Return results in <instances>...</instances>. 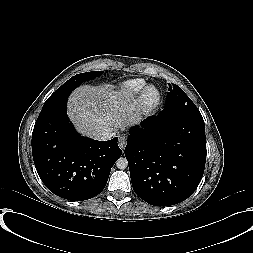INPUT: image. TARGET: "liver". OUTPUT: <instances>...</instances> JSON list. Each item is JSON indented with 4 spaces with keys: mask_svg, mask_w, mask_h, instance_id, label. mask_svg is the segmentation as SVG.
<instances>
[{
    "mask_svg": "<svg viewBox=\"0 0 253 253\" xmlns=\"http://www.w3.org/2000/svg\"><path fill=\"white\" fill-rule=\"evenodd\" d=\"M68 116L83 135L95 138L140 121L137 100L131 93L111 85H83L68 100Z\"/></svg>",
    "mask_w": 253,
    "mask_h": 253,
    "instance_id": "obj_1",
    "label": "liver"
}]
</instances>
